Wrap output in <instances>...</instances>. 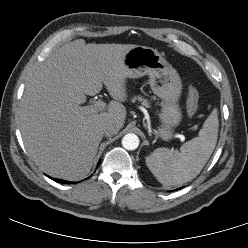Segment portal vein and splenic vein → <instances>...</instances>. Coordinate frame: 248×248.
Listing matches in <instances>:
<instances>
[{"label": "portal vein and splenic vein", "instance_id": "obj_1", "mask_svg": "<svg viewBox=\"0 0 248 248\" xmlns=\"http://www.w3.org/2000/svg\"><path fill=\"white\" fill-rule=\"evenodd\" d=\"M86 108L93 113L102 112L106 109V103L102 100H97L92 105L87 106Z\"/></svg>", "mask_w": 248, "mask_h": 248}]
</instances>
